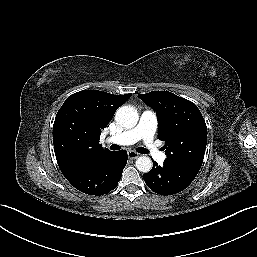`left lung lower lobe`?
Instances as JSON below:
<instances>
[{"instance_id": "0a47b994", "label": "left lung lower lobe", "mask_w": 257, "mask_h": 257, "mask_svg": "<svg viewBox=\"0 0 257 257\" xmlns=\"http://www.w3.org/2000/svg\"><path fill=\"white\" fill-rule=\"evenodd\" d=\"M199 169L186 163L171 160L164 161L163 166L153 161V168L143 175L147 186L161 195H173L185 188L194 180Z\"/></svg>"}]
</instances>
